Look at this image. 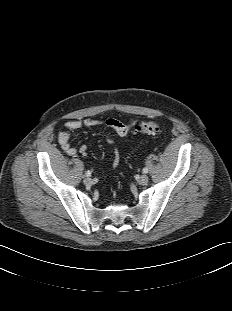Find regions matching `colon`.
<instances>
[{
  "label": "colon",
  "instance_id": "5ec220e1",
  "mask_svg": "<svg viewBox=\"0 0 232 311\" xmlns=\"http://www.w3.org/2000/svg\"><path fill=\"white\" fill-rule=\"evenodd\" d=\"M135 131L143 134H157L162 131V126L157 121H145L134 126Z\"/></svg>",
  "mask_w": 232,
  "mask_h": 311
}]
</instances>
